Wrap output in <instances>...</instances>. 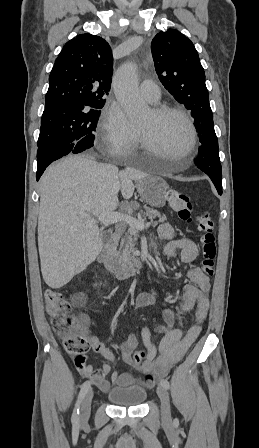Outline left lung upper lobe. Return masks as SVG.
<instances>
[{
  "instance_id": "1",
  "label": "left lung upper lobe",
  "mask_w": 259,
  "mask_h": 448,
  "mask_svg": "<svg viewBox=\"0 0 259 448\" xmlns=\"http://www.w3.org/2000/svg\"><path fill=\"white\" fill-rule=\"evenodd\" d=\"M151 50L159 80L191 111L201 144L217 140L205 72L192 41L178 30L168 29L153 38Z\"/></svg>"
}]
</instances>
